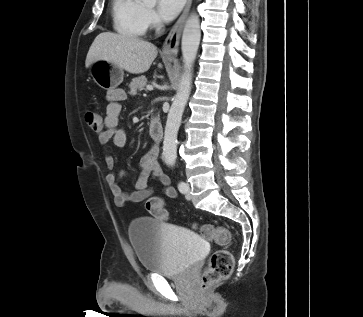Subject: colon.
Listing matches in <instances>:
<instances>
[{
    "mask_svg": "<svg viewBox=\"0 0 363 317\" xmlns=\"http://www.w3.org/2000/svg\"><path fill=\"white\" fill-rule=\"evenodd\" d=\"M85 121L90 130L100 133L103 129L101 116L91 110L85 112ZM146 209L150 215L158 220L166 221L168 212L163 201L158 197H152L146 201ZM201 233L208 240L218 245L226 246L230 242V232L222 226H213L205 224L200 229ZM234 259L232 254L226 249L221 248L213 252L209 259V264L204 270L200 280L202 290H207L217 282L227 279L233 270Z\"/></svg>",
    "mask_w": 363,
    "mask_h": 317,
    "instance_id": "1",
    "label": "colon"
}]
</instances>
